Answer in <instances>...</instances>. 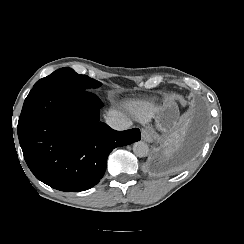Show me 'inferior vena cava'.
Wrapping results in <instances>:
<instances>
[{"mask_svg": "<svg viewBox=\"0 0 244 244\" xmlns=\"http://www.w3.org/2000/svg\"><path fill=\"white\" fill-rule=\"evenodd\" d=\"M106 123L115 130H126L129 129L132 125L131 121L116 116L106 117Z\"/></svg>", "mask_w": 244, "mask_h": 244, "instance_id": "602c4592", "label": "inferior vena cava"}]
</instances>
